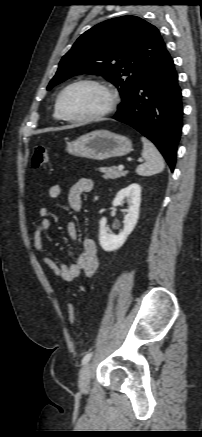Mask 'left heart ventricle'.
<instances>
[{
    "label": "left heart ventricle",
    "instance_id": "b2bd125f",
    "mask_svg": "<svg viewBox=\"0 0 202 437\" xmlns=\"http://www.w3.org/2000/svg\"><path fill=\"white\" fill-rule=\"evenodd\" d=\"M107 95L99 88L83 84L71 88L63 97L62 108L71 117L91 115L107 104Z\"/></svg>",
    "mask_w": 202,
    "mask_h": 437
}]
</instances>
